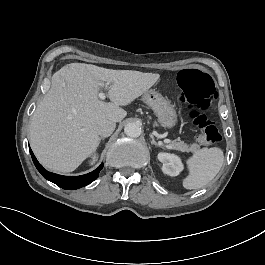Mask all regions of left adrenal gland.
I'll use <instances>...</instances> for the list:
<instances>
[{
    "label": "left adrenal gland",
    "mask_w": 265,
    "mask_h": 265,
    "mask_svg": "<svg viewBox=\"0 0 265 265\" xmlns=\"http://www.w3.org/2000/svg\"><path fill=\"white\" fill-rule=\"evenodd\" d=\"M150 137H151V139H152L151 144H153V145H155V146H158V147H161V148H164L163 146L159 145V144L155 141L154 136H153L152 134H150Z\"/></svg>",
    "instance_id": "1"
}]
</instances>
